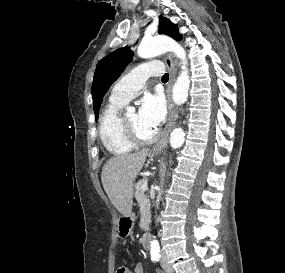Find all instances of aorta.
<instances>
[{
    "label": "aorta",
    "mask_w": 285,
    "mask_h": 273,
    "mask_svg": "<svg viewBox=\"0 0 285 273\" xmlns=\"http://www.w3.org/2000/svg\"><path fill=\"white\" fill-rule=\"evenodd\" d=\"M171 51L182 61V70L178 76L173 89L172 98L176 104H183L188 97V91L190 87V78L188 75L186 52L184 48L176 41L165 37L156 36L148 39H144L137 50L138 56L143 59L156 57L164 52ZM184 131L181 128H175L170 135V145L173 149L180 148L184 143ZM161 192L157 197L159 202ZM151 255H158L160 253V246L156 239H153L150 244Z\"/></svg>",
    "instance_id": "obj_1"
}]
</instances>
